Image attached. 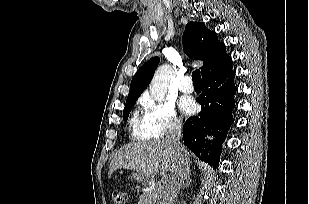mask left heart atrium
<instances>
[{"mask_svg": "<svg viewBox=\"0 0 309 204\" xmlns=\"http://www.w3.org/2000/svg\"><path fill=\"white\" fill-rule=\"evenodd\" d=\"M180 107H181V110L185 114H191L195 110V104H194L193 100L190 99V98H183V99H181Z\"/></svg>", "mask_w": 309, "mask_h": 204, "instance_id": "obj_1", "label": "left heart atrium"}]
</instances>
